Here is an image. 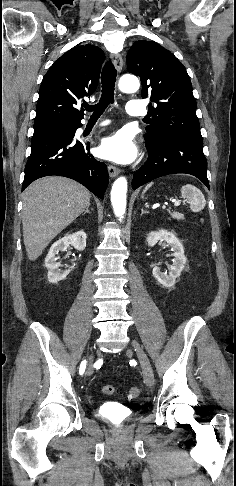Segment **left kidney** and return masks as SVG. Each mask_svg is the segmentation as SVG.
I'll return each instance as SVG.
<instances>
[{"instance_id":"1","label":"left kidney","mask_w":236,"mask_h":486,"mask_svg":"<svg viewBox=\"0 0 236 486\" xmlns=\"http://www.w3.org/2000/svg\"><path fill=\"white\" fill-rule=\"evenodd\" d=\"M159 240H164L171 247L173 251V264L170 265L169 274L160 271L159 267L153 268V276L164 287H172L175 284L176 278L180 276L186 264V257L184 255V248L182 243L172 232L166 230H159L151 232L147 236V243L149 246H154Z\"/></svg>"}]
</instances>
